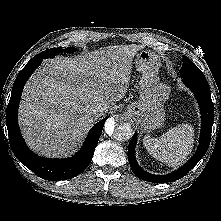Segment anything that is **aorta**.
Instances as JSON below:
<instances>
[{
	"mask_svg": "<svg viewBox=\"0 0 221 221\" xmlns=\"http://www.w3.org/2000/svg\"><path fill=\"white\" fill-rule=\"evenodd\" d=\"M106 134L117 141H125L133 135V123L124 115L109 118L104 126Z\"/></svg>",
	"mask_w": 221,
	"mask_h": 221,
	"instance_id": "762f6f07",
	"label": "aorta"
}]
</instances>
